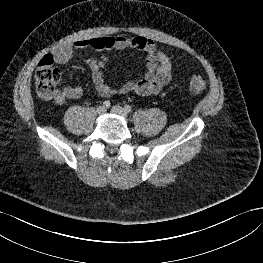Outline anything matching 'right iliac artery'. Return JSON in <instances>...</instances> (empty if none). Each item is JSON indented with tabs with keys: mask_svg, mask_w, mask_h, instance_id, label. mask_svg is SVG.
I'll use <instances>...</instances> for the list:
<instances>
[{
	"mask_svg": "<svg viewBox=\"0 0 263 263\" xmlns=\"http://www.w3.org/2000/svg\"><path fill=\"white\" fill-rule=\"evenodd\" d=\"M103 106H104L105 108H109V107H110V101H109V100L104 101V102H103Z\"/></svg>",
	"mask_w": 263,
	"mask_h": 263,
	"instance_id": "82829eb1",
	"label": "right iliac artery"
}]
</instances>
